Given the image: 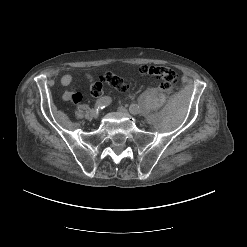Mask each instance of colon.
Here are the masks:
<instances>
[{"label": "colon", "instance_id": "colon-1", "mask_svg": "<svg viewBox=\"0 0 247 247\" xmlns=\"http://www.w3.org/2000/svg\"><path fill=\"white\" fill-rule=\"evenodd\" d=\"M144 76L154 77L158 81V85L162 90H170L177 82L178 75L172 68L167 66H151L143 65L139 69ZM104 81L118 91H125L127 84L122 78L117 75L106 73ZM103 86L101 82H95L90 87V92L93 96L101 95Z\"/></svg>", "mask_w": 247, "mask_h": 247}]
</instances>
